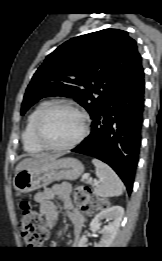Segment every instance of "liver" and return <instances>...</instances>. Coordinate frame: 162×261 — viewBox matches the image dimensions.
<instances>
[{"label": "liver", "instance_id": "1", "mask_svg": "<svg viewBox=\"0 0 162 261\" xmlns=\"http://www.w3.org/2000/svg\"><path fill=\"white\" fill-rule=\"evenodd\" d=\"M56 157H60V155L41 154V155H36L31 158H25L21 162L18 163L15 171L17 172L19 170L36 167V166L40 165L41 163H43L45 160L50 159V158H56Z\"/></svg>", "mask_w": 162, "mask_h": 261}]
</instances>
